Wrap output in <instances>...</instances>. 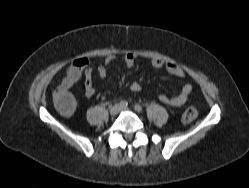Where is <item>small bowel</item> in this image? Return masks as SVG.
Wrapping results in <instances>:
<instances>
[{"mask_svg":"<svg viewBox=\"0 0 249 188\" xmlns=\"http://www.w3.org/2000/svg\"><path fill=\"white\" fill-rule=\"evenodd\" d=\"M116 59L117 57L115 55H109L105 58L104 64L97 67V74L100 78L106 77V66L113 63ZM120 60L125 67L131 68L137 61V55L134 53H125L120 57ZM150 63L154 68H165L166 71L174 77L182 78L185 76V73L181 67L169 62H164L159 58H151ZM82 75L85 76L84 95L86 98H91L95 94V88L92 81L93 70L89 66V60L87 58H79L75 60L68 69L66 76L61 80L57 87L69 91ZM130 88L132 91L137 92L140 90V85L137 82H133ZM191 90L192 86L187 83L183 85L178 95L167 96L161 94L159 96V100L171 107H181L187 102Z\"/></svg>","mask_w":249,"mask_h":188,"instance_id":"1","label":"small bowel"}]
</instances>
